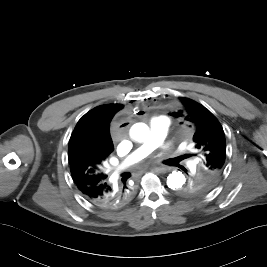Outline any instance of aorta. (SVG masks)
<instances>
[{"label":"aorta","instance_id":"obj_1","mask_svg":"<svg viewBox=\"0 0 267 267\" xmlns=\"http://www.w3.org/2000/svg\"><path fill=\"white\" fill-rule=\"evenodd\" d=\"M130 136L137 142H145L150 136V131L145 123H136L130 129ZM186 181L184 174L173 171L167 177V186L172 190L180 189Z\"/></svg>","mask_w":267,"mask_h":267}]
</instances>
